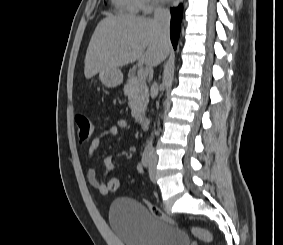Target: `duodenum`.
<instances>
[{
    "label": "duodenum",
    "instance_id": "duodenum-1",
    "mask_svg": "<svg viewBox=\"0 0 283 245\" xmlns=\"http://www.w3.org/2000/svg\"><path fill=\"white\" fill-rule=\"evenodd\" d=\"M138 123L141 126L142 129H147L149 127V119L147 117H139L138 118Z\"/></svg>",
    "mask_w": 283,
    "mask_h": 245
}]
</instances>
